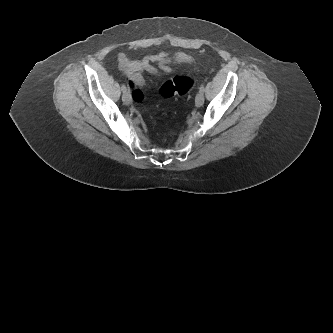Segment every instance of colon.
<instances>
[{
	"mask_svg": "<svg viewBox=\"0 0 333 333\" xmlns=\"http://www.w3.org/2000/svg\"><path fill=\"white\" fill-rule=\"evenodd\" d=\"M195 79L188 76H176L165 81L159 88L158 93L162 97L174 95H186L194 88Z\"/></svg>",
	"mask_w": 333,
	"mask_h": 333,
	"instance_id": "obj_1",
	"label": "colon"
}]
</instances>
